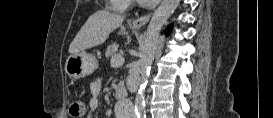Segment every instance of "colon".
<instances>
[{
  "mask_svg": "<svg viewBox=\"0 0 273 118\" xmlns=\"http://www.w3.org/2000/svg\"><path fill=\"white\" fill-rule=\"evenodd\" d=\"M70 115L73 117H81L84 115L85 106L80 98H74L69 107Z\"/></svg>",
  "mask_w": 273,
  "mask_h": 118,
  "instance_id": "colon-1",
  "label": "colon"
}]
</instances>
